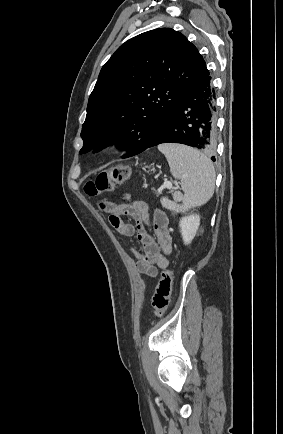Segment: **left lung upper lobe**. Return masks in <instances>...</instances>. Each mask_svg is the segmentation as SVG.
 Wrapping results in <instances>:
<instances>
[{"label":"left lung upper lobe","mask_w":283,"mask_h":434,"mask_svg":"<svg viewBox=\"0 0 283 434\" xmlns=\"http://www.w3.org/2000/svg\"><path fill=\"white\" fill-rule=\"evenodd\" d=\"M209 73L198 49L178 31L160 28L122 44L103 65L88 106L80 154L109 146L141 153L181 95Z\"/></svg>","instance_id":"1"}]
</instances>
